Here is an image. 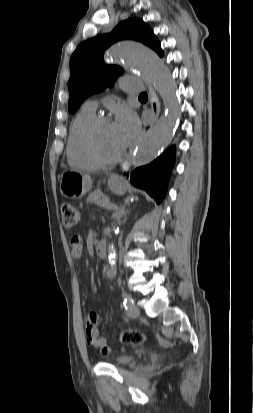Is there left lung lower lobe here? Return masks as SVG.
Returning <instances> with one entry per match:
<instances>
[{
    "label": "left lung lower lobe",
    "instance_id": "left-lung-lower-lobe-1",
    "mask_svg": "<svg viewBox=\"0 0 253 413\" xmlns=\"http://www.w3.org/2000/svg\"><path fill=\"white\" fill-rule=\"evenodd\" d=\"M174 161L175 148L172 146L149 165L134 170L130 175L131 183L145 189L157 203H161L167 191Z\"/></svg>",
    "mask_w": 253,
    "mask_h": 413
}]
</instances>
